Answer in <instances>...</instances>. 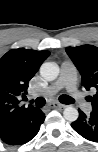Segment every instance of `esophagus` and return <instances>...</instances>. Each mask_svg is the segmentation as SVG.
I'll return each mask as SVG.
<instances>
[{"label":"esophagus","instance_id":"1","mask_svg":"<svg viewBox=\"0 0 98 152\" xmlns=\"http://www.w3.org/2000/svg\"><path fill=\"white\" fill-rule=\"evenodd\" d=\"M50 108H54V109H63L65 108V105L60 104L58 102H52L48 105Z\"/></svg>","mask_w":98,"mask_h":152}]
</instances>
